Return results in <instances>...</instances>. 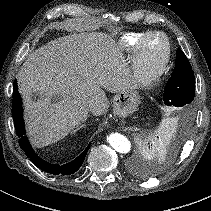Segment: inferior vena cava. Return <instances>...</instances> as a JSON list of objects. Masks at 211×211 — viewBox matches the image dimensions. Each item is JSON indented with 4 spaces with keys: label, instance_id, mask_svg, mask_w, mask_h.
<instances>
[{
    "label": "inferior vena cava",
    "instance_id": "obj_1",
    "mask_svg": "<svg viewBox=\"0 0 211 211\" xmlns=\"http://www.w3.org/2000/svg\"><path fill=\"white\" fill-rule=\"evenodd\" d=\"M93 107H94V103L93 102H90L89 103V109H90V111H92Z\"/></svg>",
    "mask_w": 211,
    "mask_h": 211
}]
</instances>
